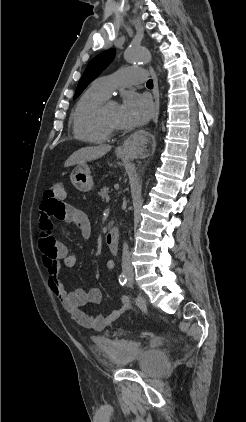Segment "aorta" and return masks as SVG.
<instances>
[{
    "label": "aorta",
    "mask_w": 246,
    "mask_h": 422,
    "mask_svg": "<svg viewBox=\"0 0 246 422\" xmlns=\"http://www.w3.org/2000/svg\"><path fill=\"white\" fill-rule=\"evenodd\" d=\"M125 59L129 63H148L151 61V55L144 47H129L125 51Z\"/></svg>",
    "instance_id": "762f6f07"
}]
</instances>
